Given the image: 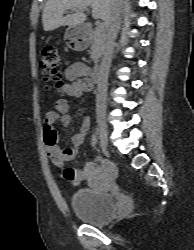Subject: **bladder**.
Segmentation results:
<instances>
[{"mask_svg": "<svg viewBox=\"0 0 194 250\" xmlns=\"http://www.w3.org/2000/svg\"><path fill=\"white\" fill-rule=\"evenodd\" d=\"M71 207L74 214L90 225H103L116 214L113 196L92 188L80 189L72 194Z\"/></svg>", "mask_w": 194, "mask_h": 250, "instance_id": "obj_1", "label": "bladder"}]
</instances>
